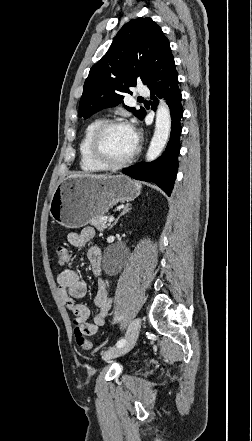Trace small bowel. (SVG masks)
Returning <instances> with one entry per match:
<instances>
[{
	"label": "small bowel",
	"instance_id": "small-bowel-1",
	"mask_svg": "<svg viewBox=\"0 0 252 441\" xmlns=\"http://www.w3.org/2000/svg\"><path fill=\"white\" fill-rule=\"evenodd\" d=\"M95 237L92 227H85L80 232H71L68 242L74 247H84L91 244ZM88 259L91 264L93 275L97 279L98 290L94 297L97 307L95 315L91 318L90 309L76 299L83 298L87 293L86 283L79 274L72 269H65L58 274L57 281L59 292L65 308L71 312L74 322L80 324V328L87 336L94 335L98 328L106 323L108 313L112 306L111 290L102 276V254L97 246L91 245L88 250Z\"/></svg>",
	"mask_w": 252,
	"mask_h": 441
}]
</instances>
